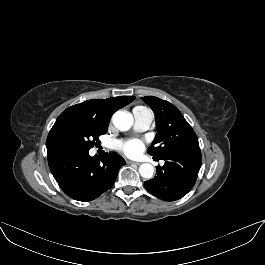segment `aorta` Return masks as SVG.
<instances>
[{"label": "aorta", "mask_w": 265, "mask_h": 265, "mask_svg": "<svg viewBox=\"0 0 265 265\" xmlns=\"http://www.w3.org/2000/svg\"><path fill=\"white\" fill-rule=\"evenodd\" d=\"M112 123L120 131H128L132 124L133 118L124 111H117L112 116ZM140 175L145 179H151L154 174V167L149 163H143L139 167Z\"/></svg>", "instance_id": "aorta-1"}]
</instances>
